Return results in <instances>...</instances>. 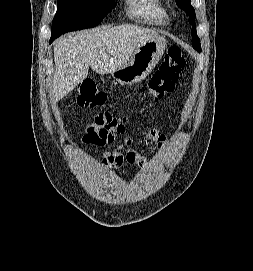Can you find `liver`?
I'll use <instances>...</instances> for the list:
<instances>
[{"label":"liver","mask_w":253,"mask_h":271,"mask_svg":"<svg viewBox=\"0 0 253 271\" xmlns=\"http://www.w3.org/2000/svg\"><path fill=\"white\" fill-rule=\"evenodd\" d=\"M155 37H159L156 31L129 24L60 37L54 44V101L65 97L83 81L89 67L99 74L112 73L127 63L139 43Z\"/></svg>","instance_id":"liver-1"}]
</instances>
